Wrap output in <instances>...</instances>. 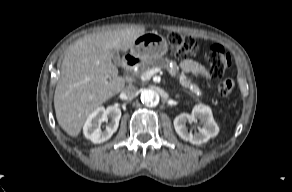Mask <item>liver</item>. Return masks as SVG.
Wrapping results in <instances>:
<instances>
[{"instance_id":"6515ba94","label":"liver","mask_w":292,"mask_h":192,"mask_svg":"<svg viewBox=\"0 0 292 192\" xmlns=\"http://www.w3.org/2000/svg\"><path fill=\"white\" fill-rule=\"evenodd\" d=\"M145 33L143 27L89 34L70 45L61 65L54 94L56 118L61 128L76 137L88 116L124 89L112 63V50L127 52Z\"/></svg>"}]
</instances>
